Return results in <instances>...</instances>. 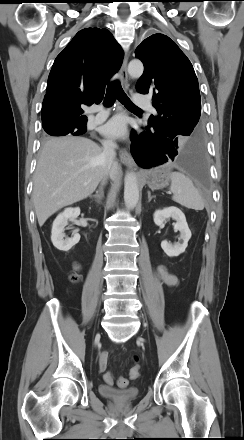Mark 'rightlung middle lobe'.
I'll use <instances>...</instances> for the list:
<instances>
[{
  "mask_svg": "<svg viewBox=\"0 0 244 440\" xmlns=\"http://www.w3.org/2000/svg\"><path fill=\"white\" fill-rule=\"evenodd\" d=\"M45 136H64L67 134L77 135L86 130V125H73L69 123L53 122L48 126H43Z\"/></svg>",
  "mask_w": 244,
  "mask_h": 440,
  "instance_id": "obj_1",
  "label": "right lung middle lobe"
}]
</instances>
